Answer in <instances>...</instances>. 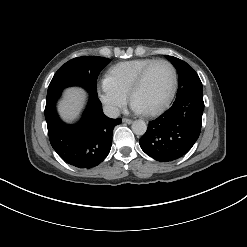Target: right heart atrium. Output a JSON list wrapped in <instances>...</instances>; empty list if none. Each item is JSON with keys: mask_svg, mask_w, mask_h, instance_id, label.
Instances as JSON below:
<instances>
[{"mask_svg": "<svg viewBox=\"0 0 247 247\" xmlns=\"http://www.w3.org/2000/svg\"><path fill=\"white\" fill-rule=\"evenodd\" d=\"M97 93L100 101L111 114H116L128 97V93L119 88L108 77L98 82Z\"/></svg>", "mask_w": 247, "mask_h": 247, "instance_id": "1", "label": "right heart atrium"}]
</instances>
